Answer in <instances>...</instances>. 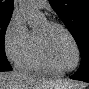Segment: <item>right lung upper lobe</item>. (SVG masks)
Segmentation results:
<instances>
[{"label": "right lung upper lobe", "instance_id": "obj_1", "mask_svg": "<svg viewBox=\"0 0 89 89\" xmlns=\"http://www.w3.org/2000/svg\"><path fill=\"white\" fill-rule=\"evenodd\" d=\"M0 11L13 12V0H0Z\"/></svg>", "mask_w": 89, "mask_h": 89}]
</instances>
